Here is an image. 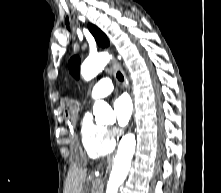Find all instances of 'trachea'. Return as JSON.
<instances>
[{
	"label": "trachea",
	"instance_id": "3493384b",
	"mask_svg": "<svg viewBox=\"0 0 221 193\" xmlns=\"http://www.w3.org/2000/svg\"><path fill=\"white\" fill-rule=\"evenodd\" d=\"M116 77H117V79H118L119 81H121V82L124 80V77H123V75L121 74V72H117Z\"/></svg>",
	"mask_w": 221,
	"mask_h": 193
}]
</instances>
